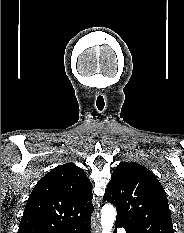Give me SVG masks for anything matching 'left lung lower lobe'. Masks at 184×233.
<instances>
[{
  "label": "left lung lower lobe",
  "instance_id": "left-lung-lower-lobe-1",
  "mask_svg": "<svg viewBox=\"0 0 184 233\" xmlns=\"http://www.w3.org/2000/svg\"><path fill=\"white\" fill-rule=\"evenodd\" d=\"M115 226L118 227V228H121V227L124 228V226L120 222H118V221H116V225ZM125 230H126L127 233H130L127 229H125ZM115 233H116V231H115Z\"/></svg>",
  "mask_w": 184,
  "mask_h": 233
}]
</instances>
